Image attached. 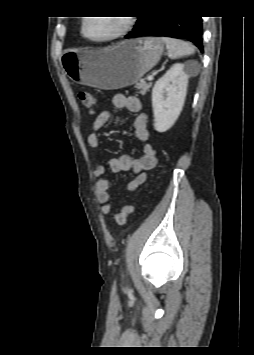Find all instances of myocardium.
Instances as JSON below:
<instances>
[{"label": "myocardium", "mask_w": 254, "mask_h": 355, "mask_svg": "<svg viewBox=\"0 0 254 355\" xmlns=\"http://www.w3.org/2000/svg\"><path fill=\"white\" fill-rule=\"evenodd\" d=\"M121 17L124 19L123 27L118 32L113 34L112 36H109L107 38H101V39L89 37L85 32V26H86V22H87L88 18H84V20L82 21L81 33L84 38H86L87 40L94 42V43H105V42H111V41L117 40V39L125 36L134 27V24H135L134 16L127 15V16H121Z\"/></svg>", "instance_id": "myocardium-1"}]
</instances>
